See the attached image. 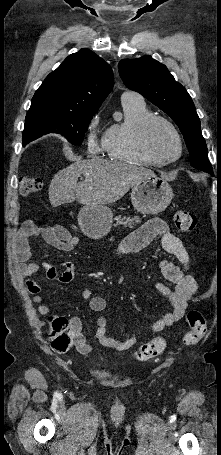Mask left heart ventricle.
Instances as JSON below:
<instances>
[{"instance_id":"b2bd125f","label":"left heart ventricle","mask_w":221,"mask_h":455,"mask_svg":"<svg viewBox=\"0 0 221 455\" xmlns=\"http://www.w3.org/2000/svg\"><path fill=\"white\" fill-rule=\"evenodd\" d=\"M150 144L161 156L173 158L178 153V143L172 131L163 123H156L150 133Z\"/></svg>"}]
</instances>
